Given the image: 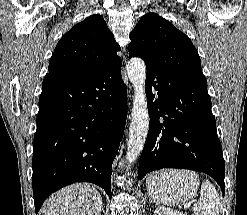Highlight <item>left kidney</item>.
I'll list each match as a JSON object with an SVG mask.
<instances>
[{"instance_id": "obj_1", "label": "left kidney", "mask_w": 247, "mask_h": 215, "mask_svg": "<svg viewBox=\"0 0 247 215\" xmlns=\"http://www.w3.org/2000/svg\"><path fill=\"white\" fill-rule=\"evenodd\" d=\"M154 215H183L182 213L166 207L156 208Z\"/></svg>"}]
</instances>
